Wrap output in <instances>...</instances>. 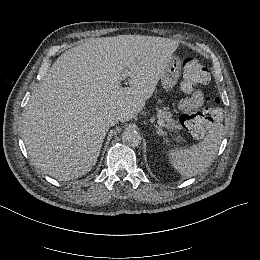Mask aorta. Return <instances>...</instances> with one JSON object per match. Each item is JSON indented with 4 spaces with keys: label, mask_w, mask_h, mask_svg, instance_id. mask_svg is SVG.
Returning <instances> with one entry per match:
<instances>
[{
    "label": "aorta",
    "mask_w": 260,
    "mask_h": 260,
    "mask_svg": "<svg viewBox=\"0 0 260 260\" xmlns=\"http://www.w3.org/2000/svg\"><path fill=\"white\" fill-rule=\"evenodd\" d=\"M141 135L134 128H127L122 133V141L129 146H138L141 143Z\"/></svg>",
    "instance_id": "obj_1"
}]
</instances>
